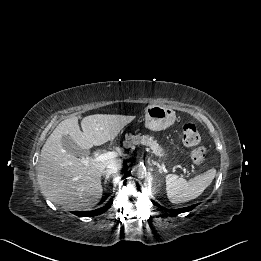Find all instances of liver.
<instances>
[{
  "label": "liver",
  "instance_id": "6515ba94",
  "mask_svg": "<svg viewBox=\"0 0 261 261\" xmlns=\"http://www.w3.org/2000/svg\"><path fill=\"white\" fill-rule=\"evenodd\" d=\"M134 116L94 114L81 121L70 117L63 120L46 140L37 169L42 193L55 204L68 209H82L97 204L102 197L101 176L114 160L90 162L64 149L62 137L68 135L82 149L88 150L115 139Z\"/></svg>",
  "mask_w": 261,
  "mask_h": 261
}]
</instances>
